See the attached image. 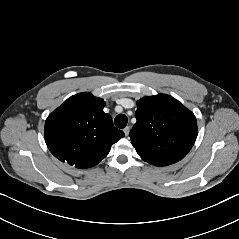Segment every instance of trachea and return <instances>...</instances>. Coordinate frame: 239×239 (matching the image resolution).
<instances>
[{"instance_id": "obj_1", "label": "trachea", "mask_w": 239, "mask_h": 239, "mask_svg": "<svg viewBox=\"0 0 239 239\" xmlns=\"http://www.w3.org/2000/svg\"><path fill=\"white\" fill-rule=\"evenodd\" d=\"M127 122H128V119H127L126 115H124V114H119L114 119V123H115L116 127L120 128V129L125 128L127 125Z\"/></svg>"}]
</instances>
